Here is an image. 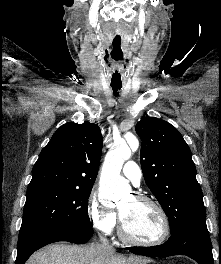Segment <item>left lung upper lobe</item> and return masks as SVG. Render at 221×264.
Segmentation results:
<instances>
[{"mask_svg": "<svg viewBox=\"0 0 221 264\" xmlns=\"http://www.w3.org/2000/svg\"><path fill=\"white\" fill-rule=\"evenodd\" d=\"M136 132L142 140L140 161L145 182L168 216L171 233L206 227L202 190L182 135L155 117L139 121Z\"/></svg>", "mask_w": 221, "mask_h": 264, "instance_id": "1", "label": "left lung upper lobe"}]
</instances>
